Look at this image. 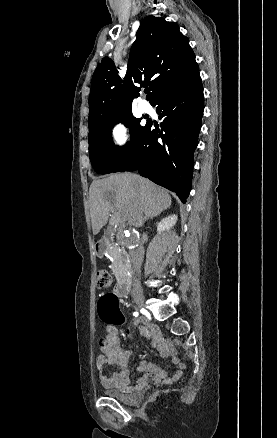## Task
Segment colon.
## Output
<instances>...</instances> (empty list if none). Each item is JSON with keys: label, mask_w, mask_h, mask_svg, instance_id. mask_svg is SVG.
Listing matches in <instances>:
<instances>
[{"label": "colon", "mask_w": 277, "mask_h": 438, "mask_svg": "<svg viewBox=\"0 0 277 438\" xmlns=\"http://www.w3.org/2000/svg\"><path fill=\"white\" fill-rule=\"evenodd\" d=\"M96 285L98 289H105L112 285L113 276L105 269H99L95 275ZM115 300V299H114ZM104 337L98 340V346L101 347Z\"/></svg>", "instance_id": "obj_1"}]
</instances>
